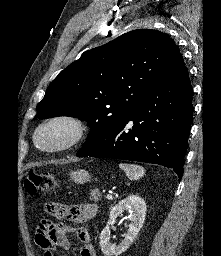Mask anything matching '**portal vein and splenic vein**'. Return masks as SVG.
Instances as JSON below:
<instances>
[{"mask_svg": "<svg viewBox=\"0 0 221 256\" xmlns=\"http://www.w3.org/2000/svg\"><path fill=\"white\" fill-rule=\"evenodd\" d=\"M106 198H107L108 200H112V199H113V196H112L111 194H107Z\"/></svg>", "mask_w": 221, "mask_h": 256, "instance_id": "obj_1", "label": "portal vein and splenic vein"}]
</instances>
